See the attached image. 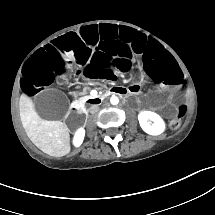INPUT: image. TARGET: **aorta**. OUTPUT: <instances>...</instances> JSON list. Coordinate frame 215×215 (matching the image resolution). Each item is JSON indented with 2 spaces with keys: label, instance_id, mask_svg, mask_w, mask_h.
Wrapping results in <instances>:
<instances>
[{
  "label": "aorta",
  "instance_id": "obj_1",
  "mask_svg": "<svg viewBox=\"0 0 215 215\" xmlns=\"http://www.w3.org/2000/svg\"><path fill=\"white\" fill-rule=\"evenodd\" d=\"M111 103H112L113 105H117V104L119 103V98H118V96L113 95V96L111 97Z\"/></svg>",
  "mask_w": 215,
  "mask_h": 215
}]
</instances>
